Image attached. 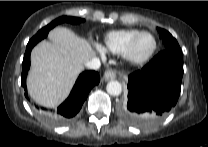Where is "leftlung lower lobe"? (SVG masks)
<instances>
[{
	"mask_svg": "<svg viewBox=\"0 0 208 147\" xmlns=\"http://www.w3.org/2000/svg\"><path fill=\"white\" fill-rule=\"evenodd\" d=\"M183 77L182 53L164 50L128 77V101L121 117L143 126L166 115L178 101Z\"/></svg>",
	"mask_w": 208,
	"mask_h": 147,
	"instance_id": "obj_1",
	"label": "left lung lower lobe"
}]
</instances>
